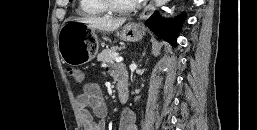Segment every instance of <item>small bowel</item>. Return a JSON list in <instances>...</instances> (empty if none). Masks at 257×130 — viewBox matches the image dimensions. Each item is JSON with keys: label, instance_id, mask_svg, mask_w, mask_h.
Returning a JSON list of instances; mask_svg holds the SVG:
<instances>
[{"label": "small bowel", "instance_id": "c3829d8e", "mask_svg": "<svg viewBox=\"0 0 257 130\" xmlns=\"http://www.w3.org/2000/svg\"><path fill=\"white\" fill-rule=\"evenodd\" d=\"M108 70L117 80L124 79L126 81V72L122 67L108 66ZM76 102L83 130H105L107 107L97 84H86ZM118 130H137L135 115L131 110L123 111Z\"/></svg>", "mask_w": 257, "mask_h": 130}]
</instances>
